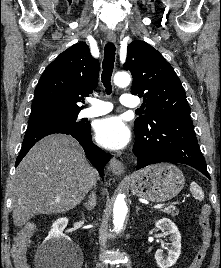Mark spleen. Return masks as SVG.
I'll list each match as a JSON object with an SVG mask.
<instances>
[{
  "label": "spleen",
  "instance_id": "obj_1",
  "mask_svg": "<svg viewBox=\"0 0 221 268\" xmlns=\"http://www.w3.org/2000/svg\"><path fill=\"white\" fill-rule=\"evenodd\" d=\"M190 190L192 191L194 197L200 201H202L204 199V193L201 189V187L196 183V182H192L190 184Z\"/></svg>",
  "mask_w": 221,
  "mask_h": 268
}]
</instances>
